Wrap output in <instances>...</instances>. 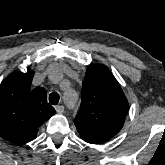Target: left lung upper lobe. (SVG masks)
<instances>
[{
    "label": "left lung upper lobe",
    "instance_id": "left-lung-upper-lobe-1",
    "mask_svg": "<svg viewBox=\"0 0 165 165\" xmlns=\"http://www.w3.org/2000/svg\"><path fill=\"white\" fill-rule=\"evenodd\" d=\"M129 109L119 83L105 66L90 65L82 83L81 108L74 123L82 137L96 144L113 138Z\"/></svg>",
    "mask_w": 165,
    "mask_h": 165
}]
</instances>
